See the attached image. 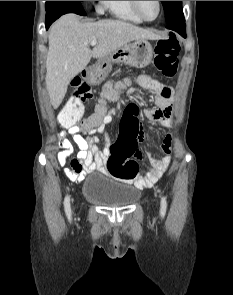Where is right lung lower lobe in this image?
Instances as JSON below:
<instances>
[{
	"label": "right lung lower lobe",
	"instance_id": "1",
	"mask_svg": "<svg viewBox=\"0 0 233 295\" xmlns=\"http://www.w3.org/2000/svg\"><path fill=\"white\" fill-rule=\"evenodd\" d=\"M66 13L86 15L80 2L66 3L56 8L46 9V29H48L56 19H58L61 15Z\"/></svg>",
	"mask_w": 233,
	"mask_h": 295
}]
</instances>
